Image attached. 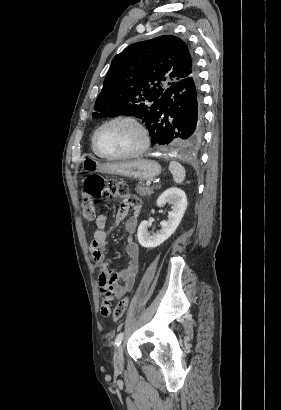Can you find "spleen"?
I'll return each mask as SVG.
<instances>
[{
    "mask_svg": "<svg viewBox=\"0 0 281 410\" xmlns=\"http://www.w3.org/2000/svg\"><path fill=\"white\" fill-rule=\"evenodd\" d=\"M169 170L172 173L176 183H181L184 181L186 175L185 169L179 162L171 161L169 164Z\"/></svg>",
    "mask_w": 281,
    "mask_h": 410,
    "instance_id": "obj_1",
    "label": "spleen"
}]
</instances>
